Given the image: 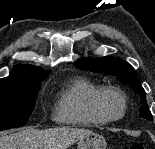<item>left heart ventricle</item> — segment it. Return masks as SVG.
Segmentation results:
<instances>
[{"mask_svg":"<svg viewBox=\"0 0 155 149\" xmlns=\"http://www.w3.org/2000/svg\"><path fill=\"white\" fill-rule=\"evenodd\" d=\"M105 104L109 112L113 115H118L122 110V103L116 97H108Z\"/></svg>","mask_w":155,"mask_h":149,"instance_id":"1","label":"left heart ventricle"}]
</instances>
